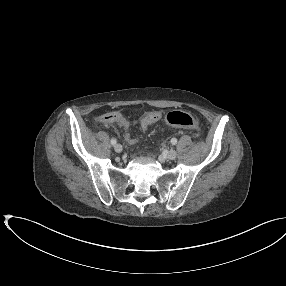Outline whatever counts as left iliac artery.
I'll use <instances>...</instances> for the list:
<instances>
[{
  "instance_id": "left-iliac-artery-1",
  "label": "left iliac artery",
  "mask_w": 286,
  "mask_h": 286,
  "mask_svg": "<svg viewBox=\"0 0 286 286\" xmlns=\"http://www.w3.org/2000/svg\"><path fill=\"white\" fill-rule=\"evenodd\" d=\"M171 143H172L173 145H175V144L177 143V139H176V138H172V139H171Z\"/></svg>"
}]
</instances>
